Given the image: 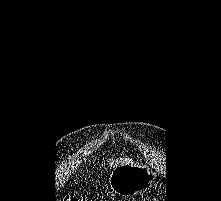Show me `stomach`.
I'll list each match as a JSON object with an SVG mask.
<instances>
[{"instance_id":"0dacf381","label":"stomach","mask_w":221,"mask_h":201,"mask_svg":"<svg viewBox=\"0 0 221 201\" xmlns=\"http://www.w3.org/2000/svg\"><path fill=\"white\" fill-rule=\"evenodd\" d=\"M155 179L156 173L146 165L120 164L113 168L109 186L115 194L131 196L151 187Z\"/></svg>"}]
</instances>
